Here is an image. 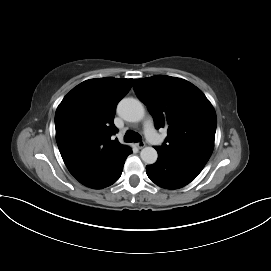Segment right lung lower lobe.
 I'll use <instances>...</instances> for the list:
<instances>
[{"mask_svg": "<svg viewBox=\"0 0 271 271\" xmlns=\"http://www.w3.org/2000/svg\"><path fill=\"white\" fill-rule=\"evenodd\" d=\"M131 153L132 150L128 148L124 155L104 175L86 186L94 189H102L116 182L121 176L127 156Z\"/></svg>", "mask_w": 271, "mask_h": 271, "instance_id": "1", "label": "right lung lower lobe"}]
</instances>
